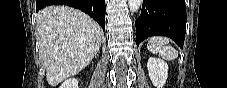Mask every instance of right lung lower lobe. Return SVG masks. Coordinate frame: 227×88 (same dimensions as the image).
<instances>
[{
	"mask_svg": "<svg viewBox=\"0 0 227 88\" xmlns=\"http://www.w3.org/2000/svg\"><path fill=\"white\" fill-rule=\"evenodd\" d=\"M53 4L68 5L90 15L105 30V0H37L36 11Z\"/></svg>",
	"mask_w": 227,
	"mask_h": 88,
	"instance_id": "98d812e1",
	"label": "right lung lower lobe"
}]
</instances>
